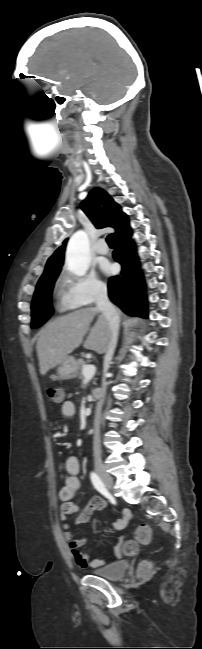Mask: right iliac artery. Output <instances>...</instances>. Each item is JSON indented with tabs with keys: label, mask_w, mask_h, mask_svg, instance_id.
<instances>
[{
	"label": "right iliac artery",
	"mask_w": 202,
	"mask_h": 649,
	"mask_svg": "<svg viewBox=\"0 0 202 649\" xmlns=\"http://www.w3.org/2000/svg\"><path fill=\"white\" fill-rule=\"evenodd\" d=\"M90 477H91V482L94 485V487L96 488V490L99 491L101 494H103L106 497L109 496L108 490L105 487L102 480L100 479V477L94 472L91 473Z\"/></svg>",
	"instance_id": "obj_1"
}]
</instances>
